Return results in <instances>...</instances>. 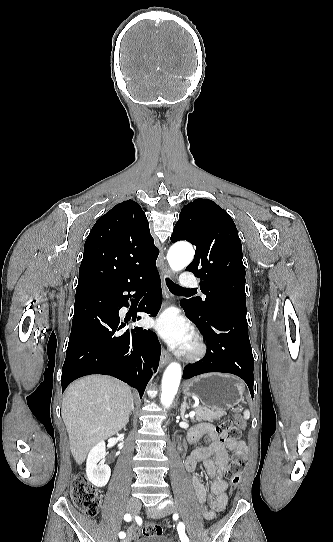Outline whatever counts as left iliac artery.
<instances>
[{
  "mask_svg": "<svg viewBox=\"0 0 333 542\" xmlns=\"http://www.w3.org/2000/svg\"><path fill=\"white\" fill-rule=\"evenodd\" d=\"M170 501H165L163 504H161V506H159V508H163L167 503H169ZM177 530H178V533H179V537H180V540L181 542H189V539L188 537L186 536L185 534V525L183 523H179L178 526H177Z\"/></svg>",
  "mask_w": 333,
  "mask_h": 542,
  "instance_id": "obj_1",
  "label": "left iliac artery"
}]
</instances>
